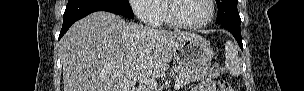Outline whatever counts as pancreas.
<instances>
[{"label":"pancreas","instance_id":"obj_1","mask_svg":"<svg viewBox=\"0 0 304 91\" xmlns=\"http://www.w3.org/2000/svg\"><path fill=\"white\" fill-rule=\"evenodd\" d=\"M222 69L218 65L212 67L190 68L186 66H174L170 70V75L175 79V82L180 87L185 86L194 81H201L204 79H214L219 76Z\"/></svg>","mask_w":304,"mask_h":91}]
</instances>
